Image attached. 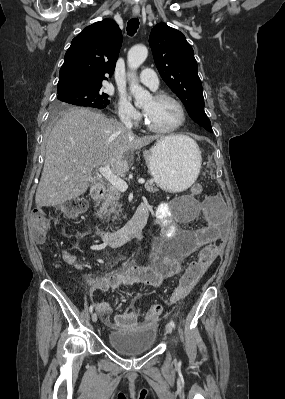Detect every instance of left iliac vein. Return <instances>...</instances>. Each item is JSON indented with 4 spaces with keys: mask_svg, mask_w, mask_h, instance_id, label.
<instances>
[{
    "mask_svg": "<svg viewBox=\"0 0 285 399\" xmlns=\"http://www.w3.org/2000/svg\"><path fill=\"white\" fill-rule=\"evenodd\" d=\"M165 330L168 334L172 333V326L168 323L165 325Z\"/></svg>",
    "mask_w": 285,
    "mask_h": 399,
    "instance_id": "1",
    "label": "left iliac vein"
}]
</instances>
